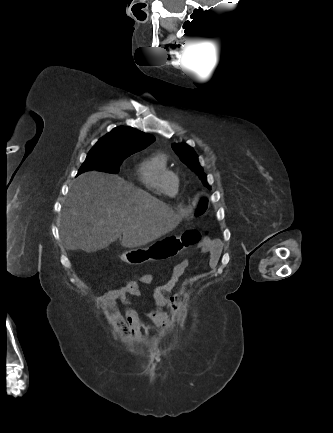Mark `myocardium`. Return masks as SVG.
Segmentation results:
<instances>
[{
	"instance_id": "1",
	"label": "myocardium",
	"mask_w": 333,
	"mask_h": 433,
	"mask_svg": "<svg viewBox=\"0 0 333 433\" xmlns=\"http://www.w3.org/2000/svg\"><path fill=\"white\" fill-rule=\"evenodd\" d=\"M170 178H174L176 183H177L178 180H179L178 175H177L175 172H173V171H169V172H167V173L163 176V179H162L163 188H164L165 192H166L168 195H172V194H173V192H171V191L169 190V188H168V180H169Z\"/></svg>"
}]
</instances>
